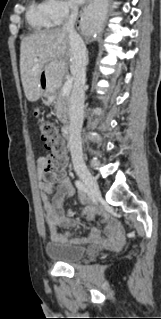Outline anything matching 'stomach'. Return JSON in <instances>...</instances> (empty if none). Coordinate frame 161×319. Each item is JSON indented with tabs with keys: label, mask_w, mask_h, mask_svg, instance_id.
<instances>
[{
	"label": "stomach",
	"mask_w": 161,
	"mask_h": 319,
	"mask_svg": "<svg viewBox=\"0 0 161 319\" xmlns=\"http://www.w3.org/2000/svg\"><path fill=\"white\" fill-rule=\"evenodd\" d=\"M63 73L64 68L58 62H51L42 70L39 78L42 97L52 99V95L61 85Z\"/></svg>",
	"instance_id": "stomach-1"
}]
</instances>
